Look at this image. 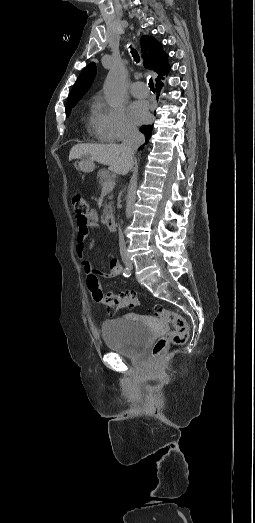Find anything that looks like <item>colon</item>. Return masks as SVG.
Here are the masks:
<instances>
[{
  "label": "colon",
  "mask_w": 255,
  "mask_h": 523,
  "mask_svg": "<svg viewBox=\"0 0 255 523\" xmlns=\"http://www.w3.org/2000/svg\"><path fill=\"white\" fill-rule=\"evenodd\" d=\"M72 206L79 222L84 223L86 215L89 212V205L85 198L76 195L72 198ZM87 286L94 301L104 304L110 312L117 310L136 307L139 300L136 295L131 293H107L105 294L98 283L95 275L87 277ZM155 315L172 329L162 335L152 347V356L157 357L163 353L169 344H183L189 336V327L186 320L177 312L165 309L160 305L154 306Z\"/></svg>",
  "instance_id": "obj_1"
}]
</instances>
